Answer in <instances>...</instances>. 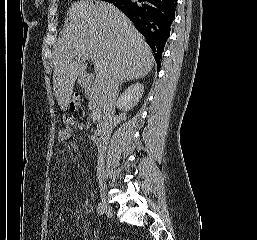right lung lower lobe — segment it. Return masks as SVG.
Instances as JSON below:
<instances>
[{"instance_id":"obj_1","label":"right lung lower lobe","mask_w":257,"mask_h":240,"mask_svg":"<svg viewBox=\"0 0 257 240\" xmlns=\"http://www.w3.org/2000/svg\"><path fill=\"white\" fill-rule=\"evenodd\" d=\"M110 3L125 13L147 39L159 70L170 26L175 18L177 0H112Z\"/></svg>"}]
</instances>
